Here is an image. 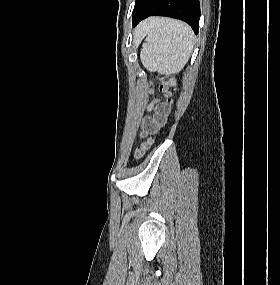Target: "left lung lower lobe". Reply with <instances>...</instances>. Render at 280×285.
Listing matches in <instances>:
<instances>
[{"mask_svg": "<svg viewBox=\"0 0 280 285\" xmlns=\"http://www.w3.org/2000/svg\"><path fill=\"white\" fill-rule=\"evenodd\" d=\"M167 16L187 22L198 33L200 19L199 0H136L133 27L148 16Z\"/></svg>", "mask_w": 280, "mask_h": 285, "instance_id": "1", "label": "left lung lower lobe"}]
</instances>
